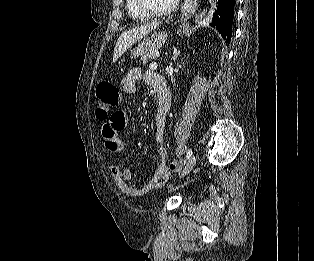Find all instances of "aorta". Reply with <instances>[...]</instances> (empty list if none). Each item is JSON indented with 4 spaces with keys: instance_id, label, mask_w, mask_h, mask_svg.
Wrapping results in <instances>:
<instances>
[{
    "instance_id": "obj_1",
    "label": "aorta",
    "mask_w": 314,
    "mask_h": 261,
    "mask_svg": "<svg viewBox=\"0 0 314 261\" xmlns=\"http://www.w3.org/2000/svg\"><path fill=\"white\" fill-rule=\"evenodd\" d=\"M205 10L200 14V16L198 17V19H202L203 18V16L205 15Z\"/></svg>"
}]
</instances>
